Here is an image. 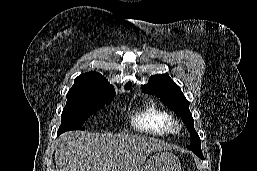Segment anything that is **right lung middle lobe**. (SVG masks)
Returning a JSON list of instances; mask_svg holds the SVG:
<instances>
[{"label": "right lung middle lobe", "mask_w": 257, "mask_h": 171, "mask_svg": "<svg viewBox=\"0 0 257 171\" xmlns=\"http://www.w3.org/2000/svg\"><path fill=\"white\" fill-rule=\"evenodd\" d=\"M114 96L115 93L108 91L70 89L58 133L85 130V120L104 105L111 103Z\"/></svg>", "instance_id": "dd1d6c3e"}]
</instances>
